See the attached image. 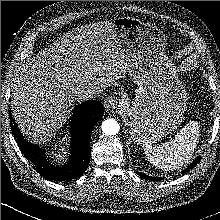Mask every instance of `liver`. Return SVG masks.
<instances>
[{"instance_id": "1", "label": "liver", "mask_w": 220, "mask_h": 220, "mask_svg": "<svg viewBox=\"0 0 220 220\" xmlns=\"http://www.w3.org/2000/svg\"><path fill=\"white\" fill-rule=\"evenodd\" d=\"M112 22L76 28L28 60L13 82L12 110L21 130L45 141L66 121L74 101L127 73Z\"/></svg>"}]
</instances>
